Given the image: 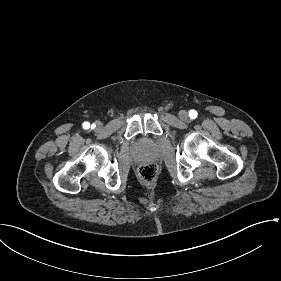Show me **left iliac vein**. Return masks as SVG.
<instances>
[{
  "mask_svg": "<svg viewBox=\"0 0 281 281\" xmlns=\"http://www.w3.org/2000/svg\"><path fill=\"white\" fill-rule=\"evenodd\" d=\"M179 118L182 120V121H187L189 119V115L188 113L185 111V110H181L179 112Z\"/></svg>",
  "mask_w": 281,
  "mask_h": 281,
  "instance_id": "left-iliac-vein-1",
  "label": "left iliac vein"
}]
</instances>
